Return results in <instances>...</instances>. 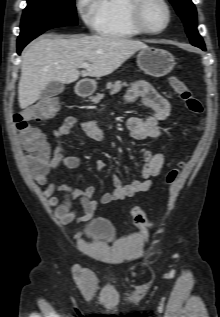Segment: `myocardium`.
Returning <instances> with one entry per match:
<instances>
[{
	"label": "myocardium",
	"mask_w": 220,
	"mask_h": 317,
	"mask_svg": "<svg viewBox=\"0 0 220 317\" xmlns=\"http://www.w3.org/2000/svg\"><path fill=\"white\" fill-rule=\"evenodd\" d=\"M151 0H133L131 6H130V17L132 23L137 27L141 32L146 33V34H160L164 32L170 25L171 20H172V9L171 6L169 5L167 0H156L158 1L166 10V23L165 25L160 28V29H152L150 28L145 20H144V9L146 5L150 2Z\"/></svg>",
	"instance_id": "myocardium-1"
}]
</instances>
